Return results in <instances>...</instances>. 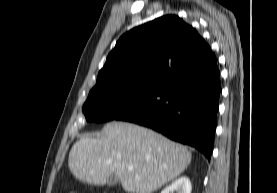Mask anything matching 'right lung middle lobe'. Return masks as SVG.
<instances>
[{
	"label": "right lung middle lobe",
	"mask_w": 277,
	"mask_h": 193,
	"mask_svg": "<svg viewBox=\"0 0 277 193\" xmlns=\"http://www.w3.org/2000/svg\"><path fill=\"white\" fill-rule=\"evenodd\" d=\"M156 90L154 87L126 86L90 92L83 106V113L87 121L117 120L145 102Z\"/></svg>",
	"instance_id": "1"
}]
</instances>
